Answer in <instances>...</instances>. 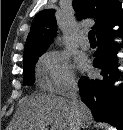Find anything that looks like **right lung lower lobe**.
Returning a JSON list of instances; mask_svg holds the SVG:
<instances>
[{
	"instance_id": "98d812e1",
	"label": "right lung lower lobe",
	"mask_w": 123,
	"mask_h": 130,
	"mask_svg": "<svg viewBox=\"0 0 123 130\" xmlns=\"http://www.w3.org/2000/svg\"><path fill=\"white\" fill-rule=\"evenodd\" d=\"M115 33L111 28L97 35L98 49L94 53L93 65L101 70L98 78L82 77L78 86L81 100L91 109L96 121L114 124L123 130V85L114 88L117 80L118 45L113 37L123 34V21Z\"/></svg>"
}]
</instances>
